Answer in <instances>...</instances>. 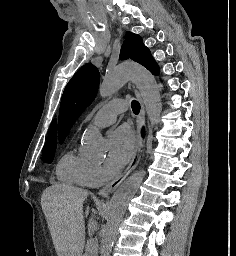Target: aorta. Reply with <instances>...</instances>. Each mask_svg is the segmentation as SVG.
Listing matches in <instances>:
<instances>
[{
  "instance_id": "obj_1",
  "label": "aorta",
  "mask_w": 236,
  "mask_h": 256,
  "mask_svg": "<svg viewBox=\"0 0 236 256\" xmlns=\"http://www.w3.org/2000/svg\"><path fill=\"white\" fill-rule=\"evenodd\" d=\"M131 80L139 89L146 108L148 119L153 126L160 122L162 111L160 90L154 76L144 67L136 64H122L107 73L98 94L105 98L114 94L127 81ZM84 140L95 151H102L103 142L98 131H87ZM146 172L139 170L127 178L110 200L106 224L101 231V256H110L120 222L129 201L134 197Z\"/></svg>"
}]
</instances>
